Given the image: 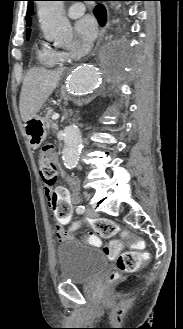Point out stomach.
Returning <instances> with one entry per match:
<instances>
[{
    "mask_svg": "<svg viewBox=\"0 0 183 329\" xmlns=\"http://www.w3.org/2000/svg\"><path fill=\"white\" fill-rule=\"evenodd\" d=\"M47 130L44 118L39 115H34L24 123V132L31 148L40 147L47 137Z\"/></svg>",
    "mask_w": 183,
    "mask_h": 329,
    "instance_id": "1",
    "label": "stomach"
}]
</instances>
